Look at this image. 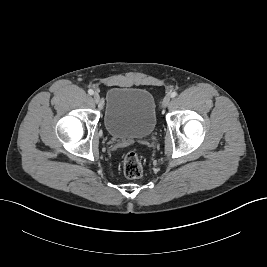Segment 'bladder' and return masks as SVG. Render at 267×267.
<instances>
[{
    "mask_svg": "<svg viewBox=\"0 0 267 267\" xmlns=\"http://www.w3.org/2000/svg\"><path fill=\"white\" fill-rule=\"evenodd\" d=\"M103 123L118 139H142L156 126V104L152 93L143 88L112 87L105 97Z\"/></svg>",
    "mask_w": 267,
    "mask_h": 267,
    "instance_id": "1",
    "label": "bladder"
}]
</instances>
